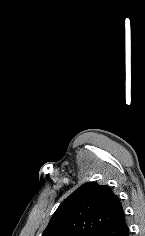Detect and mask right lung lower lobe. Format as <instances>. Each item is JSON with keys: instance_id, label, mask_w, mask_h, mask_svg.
Instances as JSON below:
<instances>
[{"instance_id": "right-lung-lower-lobe-1", "label": "right lung lower lobe", "mask_w": 145, "mask_h": 236, "mask_svg": "<svg viewBox=\"0 0 145 236\" xmlns=\"http://www.w3.org/2000/svg\"><path fill=\"white\" fill-rule=\"evenodd\" d=\"M97 236H129V229L126 224L125 216L105 228Z\"/></svg>"}]
</instances>
